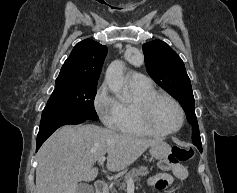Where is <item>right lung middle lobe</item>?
Instances as JSON below:
<instances>
[{
	"label": "right lung middle lobe",
	"mask_w": 237,
	"mask_h": 193,
	"mask_svg": "<svg viewBox=\"0 0 237 193\" xmlns=\"http://www.w3.org/2000/svg\"><path fill=\"white\" fill-rule=\"evenodd\" d=\"M97 83L56 79V88L44 111L63 114L77 119L98 120L94 108Z\"/></svg>",
	"instance_id": "right-lung-middle-lobe-1"
}]
</instances>
